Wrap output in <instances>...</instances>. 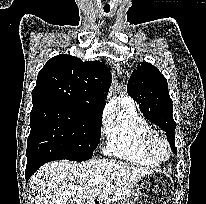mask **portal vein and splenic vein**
<instances>
[{
    "label": "portal vein and splenic vein",
    "instance_id": "18ae733b",
    "mask_svg": "<svg viewBox=\"0 0 206 204\" xmlns=\"http://www.w3.org/2000/svg\"><path fill=\"white\" fill-rule=\"evenodd\" d=\"M101 181H103V177L102 176H96L95 179H94L95 183H99Z\"/></svg>",
    "mask_w": 206,
    "mask_h": 204
}]
</instances>
